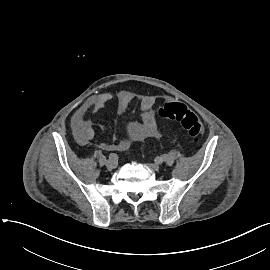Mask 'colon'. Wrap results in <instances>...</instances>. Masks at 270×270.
I'll return each mask as SVG.
<instances>
[{"instance_id": "obj_1", "label": "colon", "mask_w": 270, "mask_h": 270, "mask_svg": "<svg viewBox=\"0 0 270 270\" xmlns=\"http://www.w3.org/2000/svg\"><path fill=\"white\" fill-rule=\"evenodd\" d=\"M158 115L165 121L179 123L189 135L191 142H200L203 134V126L196 114L184 103H168L158 110Z\"/></svg>"}]
</instances>
